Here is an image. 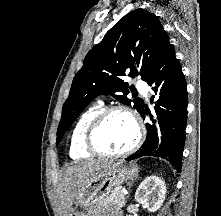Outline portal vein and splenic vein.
<instances>
[{"instance_id":"obj_1","label":"portal vein and splenic vein","mask_w":221,"mask_h":216,"mask_svg":"<svg viewBox=\"0 0 221 216\" xmlns=\"http://www.w3.org/2000/svg\"><path fill=\"white\" fill-rule=\"evenodd\" d=\"M122 193H123V195H125V194H126V191H122Z\"/></svg>"}]
</instances>
